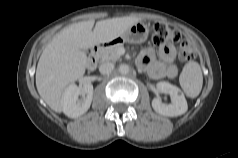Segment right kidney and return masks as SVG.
I'll list each match as a JSON object with an SVG mask.
<instances>
[{"instance_id":"1","label":"right kidney","mask_w":238,"mask_h":158,"mask_svg":"<svg viewBox=\"0 0 238 158\" xmlns=\"http://www.w3.org/2000/svg\"><path fill=\"white\" fill-rule=\"evenodd\" d=\"M92 98L93 85L91 83H86L82 87L71 84L63 93V112L70 118H78L88 111Z\"/></svg>"}]
</instances>
